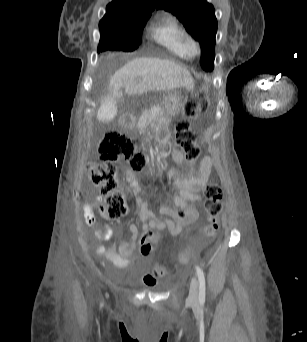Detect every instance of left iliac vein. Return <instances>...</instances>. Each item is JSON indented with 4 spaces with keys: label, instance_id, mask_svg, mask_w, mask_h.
I'll return each instance as SVG.
<instances>
[{
    "label": "left iliac vein",
    "instance_id": "4c4485c4",
    "mask_svg": "<svg viewBox=\"0 0 307 342\" xmlns=\"http://www.w3.org/2000/svg\"><path fill=\"white\" fill-rule=\"evenodd\" d=\"M198 287L199 283L196 278H192L189 290V301L192 303L198 302Z\"/></svg>",
    "mask_w": 307,
    "mask_h": 342
}]
</instances>
